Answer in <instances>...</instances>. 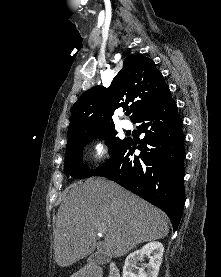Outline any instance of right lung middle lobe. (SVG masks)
<instances>
[{"label":"right lung middle lobe","instance_id":"right-lung-middle-lobe-1","mask_svg":"<svg viewBox=\"0 0 221 277\" xmlns=\"http://www.w3.org/2000/svg\"><path fill=\"white\" fill-rule=\"evenodd\" d=\"M114 125L101 126L86 131L79 132L68 138L67 151L65 160V171L73 178H87L92 175L90 170L82 164L83 148L91 140L95 138L105 139L107 146L110 148L109 154H113L124 140H120L117 136Z\"/></svg>","mask_w":221,"mask_h":277}]
</instances>
